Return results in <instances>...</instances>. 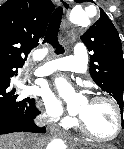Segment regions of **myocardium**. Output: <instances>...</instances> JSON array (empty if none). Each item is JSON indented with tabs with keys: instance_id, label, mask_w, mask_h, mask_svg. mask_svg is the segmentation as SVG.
<instances>
[{
	"instance_id": "1",
	"label": "myocardium",
	"mask_w": 124,
	"mask_h": 149,
	"mask_svg": "<svg viewBox=\"0 0 124 149\" xmlns=\"http://www.w3.org/2000/svg\"><path fill=\"white\" fill-rule=\"evenodd\" d=\"M90 103H96V102H107L109 103L115 112L116 115V119H117V128L115 133L111 136V137H99L97 135H95L86 125V123L84 122V120L78 116L77 117V123L79 126V129L88 137H90L91 139L97 141V142H113L116 139L119 138V136L122 134L123 130H124V113L122 112L119 104L111 97L108 96H103V95H98V96H94L90 99L89 101Z\"/></svg>"
}]
</instances>
